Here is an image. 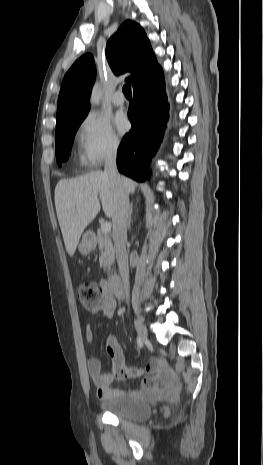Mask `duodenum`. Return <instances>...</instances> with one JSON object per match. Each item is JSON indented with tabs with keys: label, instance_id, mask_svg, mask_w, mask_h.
<instances>
[{
	"label": "duodenum",
	"instance_id": "410a0bca",
	"mask_svg": "<svg viewBox=\"0 0 263 465\" xmlns=\"http://www.w3.org/2000/svg\"><path fill=\"white\" fill-rule=\"evenodd\" d=\"M108 285L117 298H122L123 287H122L121 279L118 275L116 274L111 275L108 280Z\"/></svg>",
	"mask_w": 263,
	"mask_h": 465
}]
</instances>
